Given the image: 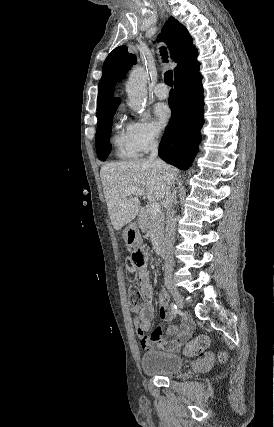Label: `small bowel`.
Masks as SVG:
<instances>
[{
  "label": "small bowel",
  "mask_w": 274,
  "mask_h": 427,
  "mask_svg": "<svg viewBox=\"0 0 274 427\" xmlns=\"http://www.w3.org/2000/svg\"><path fill=\"white\" fill-rule=\"evenodd\" d=\"M145 255V262L137 268V276L140 289L143 295V306L138 311V317L135 320L136 333L139 338L141 347L146 352L160 350L169 353H176L180 350L182 344L190 337L191 327L188 322H185L183 328L178 331L166 330L164 323L170 318L169 302L166 294L159 296L158 314L162 323L157 324L151 334L147 336V332L152 326L153 316V290L151 286L149 271L146 266L147 251L142 250Z\"/></svg>",
  "instance_id": "c3829d8e"
}]
</instances>
